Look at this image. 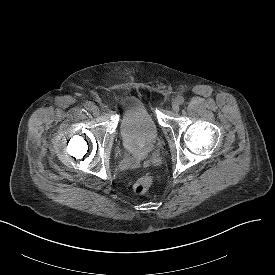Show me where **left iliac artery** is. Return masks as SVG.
<instances>
[{
	"label": "left iliac artery",
	"mask_w": 275,
	"mask_h": 275,
	"mask_svg": "<svg viewBox=\"0 0 275 275\" xmlns=\"http://www.w3.org/2000/svg\"><path fill=\"white\" fill-rule=\"evenodd\" d=\"M177 100H178L179 104L184 103V97L183 96H177Z\"/></svg>",
	"instance_id": "left-iliac-artery-1"
}]
</instances>
